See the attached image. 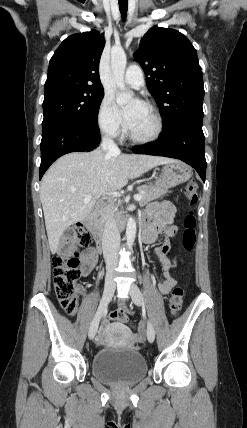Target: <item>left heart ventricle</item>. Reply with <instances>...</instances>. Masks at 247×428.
<instances>
[{"label": "left heart ventricle", "mask_w": 247, "mask_h": 428, "mask_svg": "<svg viewBox=\"0 0 247 428\" xmlns=\"http://www.w3.org/2000/svg\"><path fill=\"white\" fill-rule=\"evenodd\" d=\"M155 126L156 123L152 113L145 107L134 125L129 129L138 137H146L154 132Z\"/></svg>", "instance_id": "left-heart-ventricle-1"}]
</instances>
